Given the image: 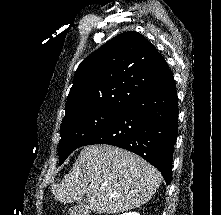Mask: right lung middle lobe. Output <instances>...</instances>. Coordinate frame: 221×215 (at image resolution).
I'll use <instances>...</instances> for the list:
<instances>
[{"label": "right lung middle lobe", "mask_w": 221, "mask_h": 215, "mask_svg": "<svg viewBox=\"0 0 221 215\" xmlns=\"http://www.w3.org/2000/svg\"><path fill=\"white\" fill-rule=\"evenodd\" d=\"M119 115V112L103 109H89L66 115L60 127L59 164L75 149L114 122Z\"/></svg>", "instance_id": "dd1d6c3e"}]
</instances>
